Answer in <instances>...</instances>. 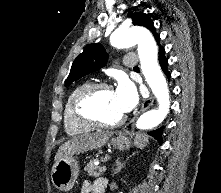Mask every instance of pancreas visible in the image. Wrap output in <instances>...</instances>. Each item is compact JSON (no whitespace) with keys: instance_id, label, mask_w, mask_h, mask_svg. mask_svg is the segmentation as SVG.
Listing matches in <instances>:
<instances>
[{"instance_id":"cf45deb5","label":"pancreas","mask_w":221,"mask_h":193,"mask_svg":"<svg viewBox=\"0 0 221 193\" xmlns=\"http://www.w3.org/2000/svg\"><path fill=\"white\" fill-rule=\"evenodd\" d=\"M96 159L90 160V162L87 163L84 170L91 176L98 177L101 175V172L99 171V166H96L94 162Z\"/></svg>"}]
</instances>
